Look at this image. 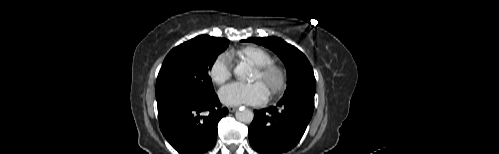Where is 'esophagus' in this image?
Here are the masks:
<instances>
[{
	"label": "esophagus",
	"instance_id": "1",
	"mask_svg": "<svg viewBox=\"0 0 499 154\" xmlns=\"http://www.w3.org/2000/svg\"><path fill=\"white\" fill-rule=\"evenodd\" d=\"M236 109L237 108L233 107V106L228 107L229 112H234V111H236Z\"/></svg>",
	"mask_w": 499,
	"mask_h": 154
}]
</instances>
